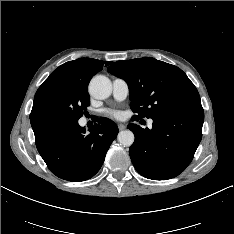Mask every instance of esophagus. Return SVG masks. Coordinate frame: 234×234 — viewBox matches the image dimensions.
Wrapping results in <instances>:
<instances>
[{"instance_id": "esophagus-1", "label": "esophagus", "mask_w": 234, "mask_h": 234, "mask_svg": "<svg viewBox=\"0 0 234 234\" xmlns=\"http://www.w3.org/2000/svg\"><path fill=\"white\" fill-rule=\"evenodd\" d=\"M118 128L119 130H124L126 128V126L124 124H118Z\"/></svg>"}]
</instances>
